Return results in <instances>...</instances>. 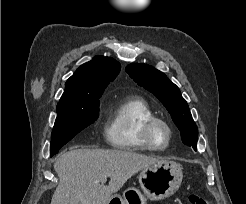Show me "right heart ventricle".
I'll use <instances>...</instances> for the list:
<instances>
[{
    "instance_id": "e07e8e85",
    "label": "right heart ventricle",
    "mask_w": 246,
    "mask_h": 204,
    "mask_svg": "<svg viewBox=\"0 0 246 204\" xmlns=\"http://www.w3.org/2000/svg\"><path fill=\"white\" fill-rule=\"evenodd\" d=\"M152 116V107L142 97L128 96L117 101L108 111L104 127L106 142L119 150H146L140 131L144 122Z\"/></svg>"
}]
</instances>
